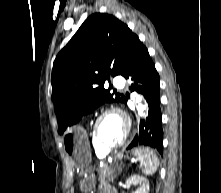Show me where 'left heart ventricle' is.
<instances>
[{"label": "left heart ventricle", "mask_w": 221, "mask_h": 193, "mask_svg": "<svg viewBox=\"0 0 221 193\" xmlns=\"http://www.w3.org/2000/svg\"><path fill=\"white\" fill-rule=\"evenodd\" d=\"M125 128L124 120L118 114L110 113L100 120L98 135L104 143L114 145L121 140Z\"/></svg>", "instance_id": "b2bd125f"}]
</instances>
